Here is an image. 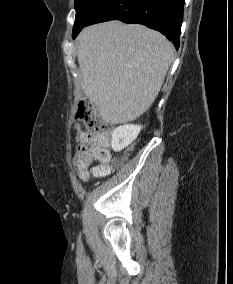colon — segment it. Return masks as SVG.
I'll return each mask as SVG.
<instances>
[{"mask_svg": "<svg viewBox=\"0 0 233 284\" xmlns=\"http://www.w3.org/2000/svg\"><path fill=\"white\" fill-rule=\"evenodd\" d=\"M77 117L86 130L76 137V163L82 166H91L94 162L107 163L110 159L109 135L112 124L97 114L94 105L84 101L78 105Z\"/></svg>", "mask_w": 233, "mask_h": 284, "instance_id": "1", "label": "colon"}]
</instances>
